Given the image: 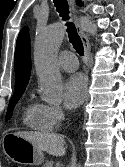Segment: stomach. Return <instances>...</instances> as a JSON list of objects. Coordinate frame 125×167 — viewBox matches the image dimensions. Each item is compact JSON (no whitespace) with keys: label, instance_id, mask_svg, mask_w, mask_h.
<instances>
[{"label":"stomach","instance_id":"stomach-1","mask_svg":"<svg viewBox=\"0 0 125 167\" xmlns=\"http://www.w3.org/2000/svg\"><path fill=\"white\" fill-rule=\"evenodd\" d=\"M7 141L3 144L6 155L17 163L41 165L44 161L43 152L31 142L15 134H7Z\"/></svg>","mask_w":125,"mask_h":167}]
</instances>
